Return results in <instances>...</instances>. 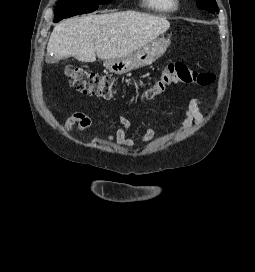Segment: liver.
Returning a JSON list of instances; mask_svg holds the SVG:
<instances>
[{
    "label": "liver",
    "mask_w": 255,
    "mask_h": 272,
    "mask_svg": "<svg viewBox=\"0 0 255 272\" xmlns=\"http://www.w3.org/2000/svg\"><path fill=\"white\" fill-rule=\"evenodd\" d=\"M170 27L162 16L121 11L70 18L57 24L47 53L55 60L70 56L82 62L126 57L155 40ZM106 39V40H105Z\"/></svg>",
    "instance_id": "1"
}]
</instances>
